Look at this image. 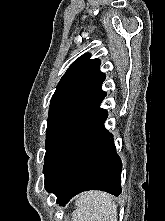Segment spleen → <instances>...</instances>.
<instances>
[{
	"instance_id": "obj_1",
	"label": "spleen",
	"mask_w": 165,
	"mask_h": 221,
	"mask_svg": "<svg viewBox=\"0 0 165 221\" xmlns=\"http://www.w3.org/2000/svg\"><path fill=\"white\" fill-rule=\"evenodd\" d=\"M73 221H117V205L112 197L104 192L82 193L75 201Z\"/></svg>"
}]
</instances>
